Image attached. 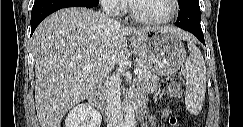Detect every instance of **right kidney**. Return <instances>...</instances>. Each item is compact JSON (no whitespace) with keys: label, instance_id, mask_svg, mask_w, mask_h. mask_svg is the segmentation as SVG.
Here are the masks:
<instances>
[{"label":"right kidney","instance_id":"1","mask_svg":"<svg viewBox=\"0 0 243 127\" xmlns=\"http://www.w3.org/2000/svg\"><path fill=\"white\" fill-rule=\"evenodd\" d=\"M100 113L86 103L73 107L65 120V127H100Z\"/></svg>","mask_w":243,"mask_h":127}]
</instances>
